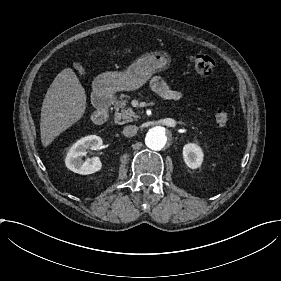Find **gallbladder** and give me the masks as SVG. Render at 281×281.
Listing matches in <instances>:
<instances>
[{
	"instance_id": "gallbladder-1",
	"label": "gallbladder",
	"mask_w": 281,
	"mask_h": 281,
	"mask_svg": "<svg viewBox=\"0 0 281 281\" xmlns=\"http://www.w3.org/2000/svg\"><path fill=\"white\" fill-rule=\"evenodd\" d=\"M73 68H74L75 71H77V72L79 71L78 73H79L80 76H82V77L84 76L85 77L87 75L86 74L87 73L86 70L83 69L80 64H78V63L75 64Z\"/></svg>"
}]
</instances>
